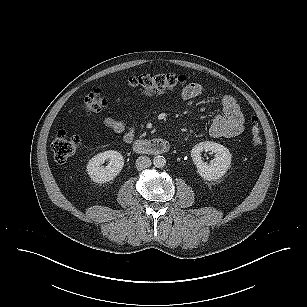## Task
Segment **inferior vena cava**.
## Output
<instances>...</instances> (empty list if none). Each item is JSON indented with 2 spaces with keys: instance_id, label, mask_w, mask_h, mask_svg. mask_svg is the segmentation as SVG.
<instances>
[{
  "instance_id": "602c4592",
  "label": "inferior vena cava",
  "mask_w": 307,
  "mask_h": 307,
  "mask_svg": "<svg viewBox=\"0 0 307 307\" xmlns=\"http://www.w3.org/2000/svg\"><path fill=\"white\" fill-rule=\"evenodd\" d=\"M151 166V160L148 156H140L136 160V168L138 170H143Z\"/></svg>"
}]
</instances>
